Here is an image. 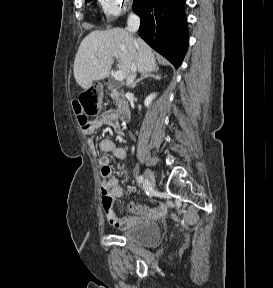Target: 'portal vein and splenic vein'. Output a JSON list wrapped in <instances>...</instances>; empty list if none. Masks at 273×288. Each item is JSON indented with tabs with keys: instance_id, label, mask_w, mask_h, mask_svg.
I'll return each mask as SVG.
<instances>
[{
	"instance_id": "1",
	"label": "portal vein and splenic vein",
	"mask_w": 273,
	"mask_h": 288,
	"mask_svg": "<svg viewBox=\"0 0 273 288\" xmlns=\"http://www.w3.org/2000/svg\"><path fill=\"white\" fill-rule=\"evenodd\" d=\"M114 79L116 81H122L124 79V74L122 71H117L115 74H114Z\"/></svg>"
}]
</instances>
